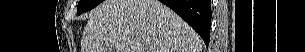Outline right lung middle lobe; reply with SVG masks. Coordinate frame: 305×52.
<instances>
[{
	"label": "right lung middle lobe",
	"mask_w": 305,
	"mask_h": 52,
	"mask_svg": "<svg viewBox=\"0 0 305 52\" xmlns=\"http://www.w3.org/2000/svg\"><path fill=\"white\" fill-rule=\"evenodd\" d=\"M103 0H80L77 7V13L80 15L83 12L93 9Z\"/></svg>",
	"instance_id": "obj_1"
}]
</instances>
